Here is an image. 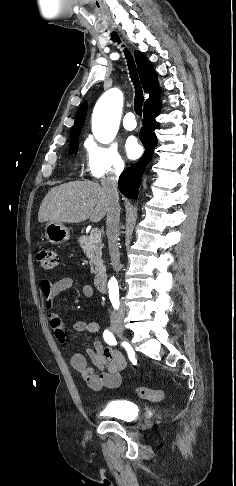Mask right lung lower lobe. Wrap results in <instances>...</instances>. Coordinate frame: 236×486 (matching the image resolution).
I'll return each mask as SVG.
<instances>
[{"instance_id":"98d812e1","label":"right lung lower lobe","mask_w":236,"mask_h":486,"mask_svg":"<svg viewBox=\"0 0 236 486\" xmlns=\"http://www.w3.org/2000/svg\"><path fill=\"white\" fill-rule=\"evenodd\" d=\"M160 109V97L144 104V120L143 127L140 131V140L145 147V153L137 163L125 169L119 178V190L131 199H137L142 175L157 145L155 129L159 128V123L155 120V117L159 115Z\"/></svg>"}]
</instances>
